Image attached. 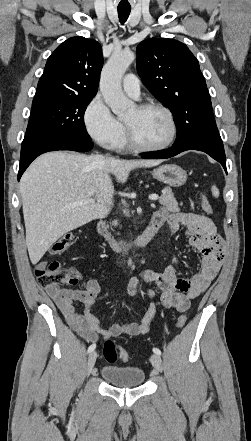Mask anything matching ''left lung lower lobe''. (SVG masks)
Segmentation results:
<instances>
[{
  "mask_svg": "<svg viewBox=\"0 0 251 441\" xmlns=\"http://www.w3.org/2000/svg\"><path fill=\"white\" fill-rule=\"evenodd\" d=\"M187 150L203 151L217 160L226 171L224 146L214 116L200 115L177 129V138L172 147L143 159H164ZM227 172V171H226Z\"/></svg>",
  "mask_w": 251,
  "mask_h": 441,
  "instance_id": "0a47b994",
  "label": "left lung lower lobe"
}]
</instances>
